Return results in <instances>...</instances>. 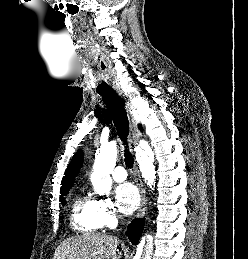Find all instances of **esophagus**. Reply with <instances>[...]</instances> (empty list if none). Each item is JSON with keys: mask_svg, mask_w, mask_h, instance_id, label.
Returning <instances> with one entry per match:
<instances>
[{"mask_svg": "<svg viewBox=\"0 0 248 259\" xmlns=\"http://www.w3.org/2000/svg\"><path fill=\"white\" fill-rule=\"evenodd\" d=\"M117 94L121 97V99L125 104V108L130 121L133 143L136 146L141 137V131L139 129V117L137 116L130 99L127 96H125L124 93L120 90L117 91ZM133 173H134L135 181L140 191V205H139L136 217L141 218L145 214L147 209V197H146V191H145L143 182L139 174L138 166L135 160H134Z\"/></svg>", "mask_w": 248, "mask_h": 259, "instance_id": "1", "label": "esophagus"}]
</instances>
